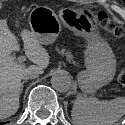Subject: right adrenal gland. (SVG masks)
Listing matches in <instances>:
<instances>
[{
    "mask_svg": "<svg viewBox=\"0 0 125 125\" xmlns=\"http://www.w3.org/2000/svg\"><path fill=\"white\" fill-rule=\"evenodd\" d=\"M26 82V80H23L22 83H21V88H20V94L22 93L23 91V87H24V83Z\"/></svg>",
    "mask_w": 125,
    "mask_h": 125,
    "instance_id": "right-adrenal-gland-1",
    "label": "right adrenal gland"
}]
</instances>
